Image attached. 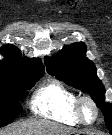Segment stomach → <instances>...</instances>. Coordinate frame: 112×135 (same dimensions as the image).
<instances>
[{"label": "stomach", "mask_w": 112, "mask_h": 135, "mask_svg": "<svg viewBox=\"0 0 112 135\" xmlns=\"http://www.w3.org/2000/svg\"><path fill=\"white\" fill-rule=\"evenodd\" d=\"M74 135H94L92 132H84V131H76L73 133Z\"/></svg>", "instance_id": "obj_1"}]
</instances>
